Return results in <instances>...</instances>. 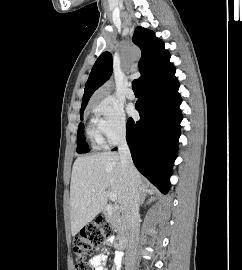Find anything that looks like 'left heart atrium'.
<instances>
[{
	"label": "left heart atrium",
	"mask_w": 242,
	"mask_h": 270,
	"mask_svg": "<svg viewBox=\"0 0 242 270\" xmlns=\"http://www.w3.org/2000/svg\"><path fill=\"white\" fill-rule=\"evenodd\" d=\"M129 113H130V114H133V110H132V109H129Z\"/></svg>",
	"instance_id": "1"
}]
</instances>
